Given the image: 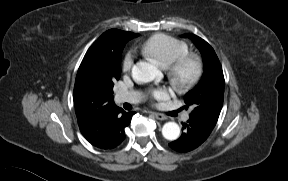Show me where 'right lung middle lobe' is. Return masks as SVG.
Instances as JSON below:
<instances>
[{
	"mask_svg": "<svg viewBox=\"0 0 288 181\" xmlns=\"http://www.w3.org/2000/svg\"><path fill=\"white\" fill-rule=\"evenodd\" d=\"M128 40H121L114 50H111L107 54V80L111 87H113V81L118 80L121 75V54L122 50Z\"/></svg>",
	"mask_w": 288,
	"mask_h": 181,
	"instance_id": "1",
	"label": "right lung middle lobe"
}]
</instances>
